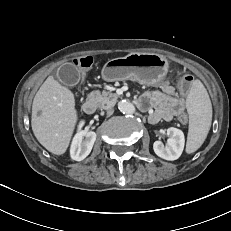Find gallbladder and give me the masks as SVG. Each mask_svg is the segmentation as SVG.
<instances>
[{
	"label": "gallbladder",
	"mask_w": 231,
	"mask_h": 231,
	"mask_svg": "<svg viewBox=\"0 0 231 231\" xmlns=\"http://www.w3.org/2000/svg\"><path fill=\"white\" fill-rule=\"evenodd\" d=\"M79 71L77 68L71 64V63H66L62 66H60L57 70V78L58 80L69 87L75 86L79 83Z\"/></svg>",
	"instance_id": "gallbladder-1"
}]
</instances>
